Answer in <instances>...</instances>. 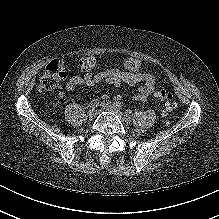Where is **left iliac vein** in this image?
<instances>
[{"label":"left iliac vein","mask_w":219,"mask_h":219,"mask_svg":"<svg viewBox=\"0 0 219 219\" xmlns=\"http://www.w3.org/2000/svg\"><path fill=\"white\" fill-rule=\"evenodd\" d=\"M102 105L106 110L115 113L123 122L129 121V118L123 114L121 108L116 105L111 104L110 102H103Z\"/></svg>","instance_id":"4c4485c4"}]
</instances>
